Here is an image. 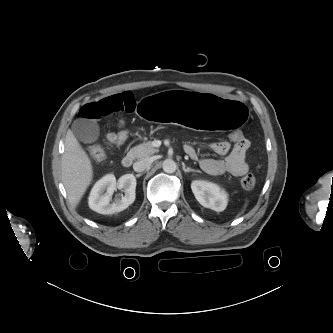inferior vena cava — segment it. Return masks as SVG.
Returning <instances> with one entry per match:
<instances>
[{
  "instance_id": "obj_1",
  "label": "inferior vena cava",
  "mask_w": 333,
  "mask_h": 333,
  "mask_svg": "<svg viewBox=\"0 0 333 333\" xmlns=\"http://www.w3.org/2000/svg\"><path fill=\"white\" fill-rule=\"evenodd\" d=\"M151 159L146 158V159H142L140 161H137L133 164V169L136 172H142L144 171L147 167H149L151 165Z\"/></svg>"
}]
</instances>
